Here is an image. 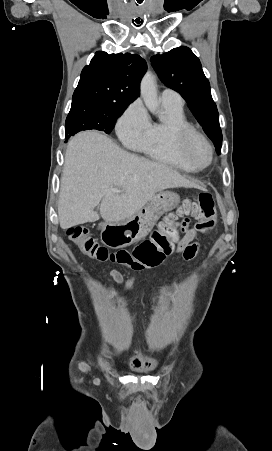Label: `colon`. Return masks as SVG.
Returning <instances> with one entry per match:
<instances>
[{
  "label": "colon",
  "mask_w": 272,
  "mask_h": 451,
  "mask_svg": "<svg viewBox=\"0 0 272 451\" xmlns=\"http://www.w3.org/2000/svg\"><path fill=\"white\" fill-rule=\"evenodd\" d=\"M182 211L190 212L197 221L195 229L200 234L211 233L216 225L217 208L213 195L209 193H198L183 201ZM66 237L76 243L83 256L96 257L97 262H107L111 258L118 264L140 270L145 267L158 266L174 250V240L176 235L173 230L155 229L151 239L145 240L132 251H118L111 253L110 249H104L92 237L88 235L87 228L81 225H71L66 229Z\"/></svg>",
  "instance_id": "1"
}]
</instances>
